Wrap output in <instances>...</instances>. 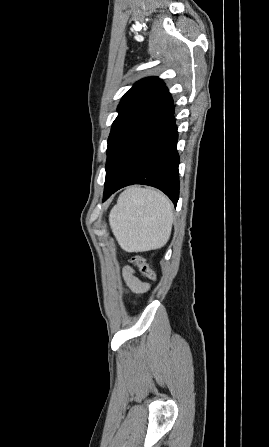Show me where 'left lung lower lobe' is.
<instances>
[{
  "mask_svg": "<svg viewBox=\"0 0 269 447\" xmlns=\"http://www.w3.org/2000/svg\"><path fill=\"white\" fill-rule=\"evenodd\" d=\"M173 101L168 113L144 136L112 182L105 185V201L128 185L144 184L163 191L176 206L179 197V155Z\"/></svg>",
  "mask_w": 269,
  "mask_h": 447,
  "instance_id": "0a47b994",
  "label": "left lung lower lobe"
}]
</instances>
